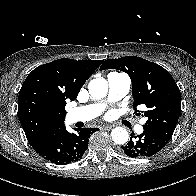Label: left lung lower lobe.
Masks as SVG:
<instances>
[{"instance_id":"obj_1","label":"left lung lower lobe","mask_w":196,"mask_h":196,"mask_svg":"<svg viewBox=\"0 0 196 196\" xmlns=\"http://www.w3.org/2000/svg\"><path fill=\"white\" fill-rule=\"evenodd\" d=\"M168 142L151 129L144 128L142 134L130 138L122 152L131 158L150 157L159 152Z\"/></svg>"}]
</instances>
